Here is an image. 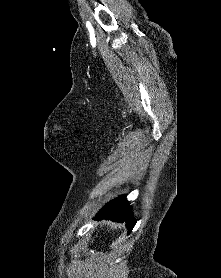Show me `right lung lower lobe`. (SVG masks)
<instances>
[{"mask_svg":"<svg viewBox=\"0 0 221 278\" xmlns=\"http://www.w3.org/2000/svg\"><path fill=\"white\" fill-rule=\"evenodd\" d=\"M96 218H105L117 222H126V227L131 231L136 220L134 219L126 196H120L107 203L101 211L96 215Z\"/></svg>","mask_w":221,"mask_h":278,"instance_id":"right-lung-lower-lobe-1","label":"right lung lower lobe"}]
</instances>
